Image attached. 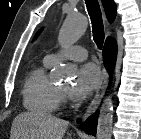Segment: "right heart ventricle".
<instances>
[{
	"instance_id": "e07e8e85",
	"label": "right heart ventricle",
	"mask_w": 141,
	"mask_h": 139,
	"mask_svg": "<svg viewBox=\"0 0 141 139\" xmlns=\"http://www.w3.org/2000/svg\"><path fill=\"white\" fill-rule=\"evenodd\" d=\"M46 59L27 75L23 89V105L31 113L49 115L61 100L59 88L48 78L47 69L52 65Z\"/></svg>"
}]
</instances>
